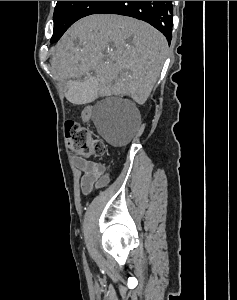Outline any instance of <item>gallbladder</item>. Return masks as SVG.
<instances>
[{
	"instance_id": "gallbladder-1",
	"label": "gallbladder",
	"mask_w": 237,
	"mask_h": 300,
	"mask_svg": "<svg viewBox=\"0 0 237 300\" xmlns=\"http://www.w3.org/2000/svg\"><path fill=\"white\" fill-rule=\"evenodd\" d=\"M93 76H86L85 82H78L77 84L71 82L67 84L65 97L70 105H91L92 101H97L99 83L94 82Z\"/></svg>"
}]
</instances>
